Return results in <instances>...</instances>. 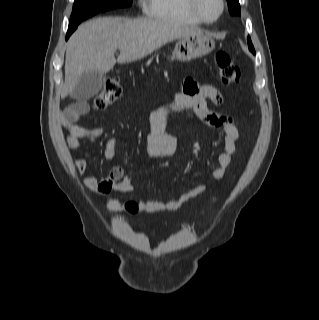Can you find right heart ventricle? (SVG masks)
I'll return each instance as SVG.
<instances>
[{
	"label": "right heart ventricle",
	"instance_id": "right-heart-ventricle-1",
	"mask_svg": "<svg viewBox=\"0 0 319 320\" xmlns=\"http://www.w3.org/2000/svg\"><path fill=\"white\" fill-rule=\"evenodd\" d=\"M145 1L147 15L152 19L188 26H198L201 24L191 14L187 0Z\"/></svg>",
	"mask_w": 319,
	"mask_h": 320
}]
</instances>
